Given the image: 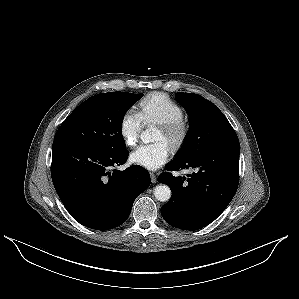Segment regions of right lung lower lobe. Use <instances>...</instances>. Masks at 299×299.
I'll list each match as a JSON object with an SVG mask.
<instances>
[{
  "label": "right lung lower lobe",
  "instance_id": "obj_1",
  "mask_svg": "<svg viewBox=\"0 0 299 299\" xmlns=\"http://www.w3.org/2000/svg\"><path fill=\"white\" fill-rule=\"evenodd\" d=\"M127 157L126 149L109 153L71 142L53 143V184L80 224L104 231L127 220L134 200L150 185L148 171L139 165L114 169Z\"/></svg>",
  "mask_w": 299,
  "mask_h": 299
}]
</instances>
